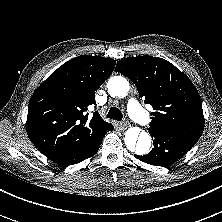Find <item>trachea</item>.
Segmentation results:
<instances>
[{"mask_svg": "<svg viewBox=\"0 0 222 222\" xmlns=\"http://www.w3.org/2000/svg\"><path fill=\"white\" fill-rule=\"evenodd\" d=\"M107 117L109 119L121 121L122 120V113L118 108L111 107L108 114H107Z\"/></svg>", "mask_w": 222, "mask_h": 222, "instance_id": "trachea-1", "label": "trachea"}]
</instances>
